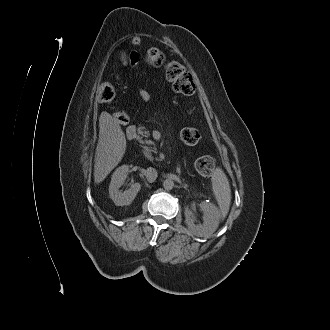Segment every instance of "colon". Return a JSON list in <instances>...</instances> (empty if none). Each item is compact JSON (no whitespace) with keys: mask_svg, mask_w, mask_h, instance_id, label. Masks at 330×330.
I'll list each match as a JSON object with an SVG mask.
<instances>
[{"mask_svg":"<svg viewBox=\"0 0 330 330\" xmlns=\"http://www.w3.org/2000/svg\"><path fill=\"white\" fill-rule=\"evenodd\" d=\"M132 52L128 55H136ZM145 63L150 67L164 68L166 79L171 83L174 92L182 95H191L195 91L193 76L184 65L179 62L171 61L165 63V56L158 47H150L144 56ZM99 99L102 102H111L114 99L115 91L111 84L104 83L98 91ZM113 117L120 122L127 119V114L123 111H117ZM181 139L185 144L194 145L201 139L200 132L195 128H185L181 132ZM196 170L204 176L210 175L215 168V161L211 156H203L197 159L195 163Z\"/></svg>","mask_w":330,"mask_h":330,"instance_id":"colon-1","label":"colon"}]
</instances>
